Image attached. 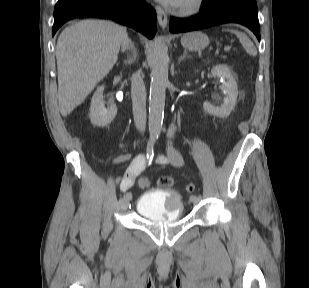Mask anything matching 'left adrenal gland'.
<instances>
[{"label":"left adrenal gland","mask_w":309,"mask_h":288,"mask_svg":"<svg viewBox=\"0 0 309 288\" xmlns=\"http://www.w3.org/2000/svg\"><path fill=\"white\" fill-rule=\"evenodd\" d=\"M191 56L187 54L186 51L183 52V55L179 58V62H181L185 58H190Z\"/></svg>","instance_id":"a2214340"}]
</instances>
